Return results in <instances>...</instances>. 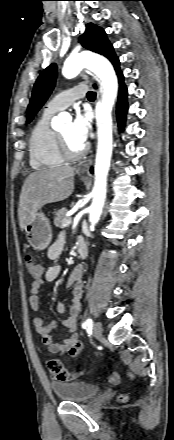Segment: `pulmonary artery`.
Masks as SVG:
<instances>
[{
    "label": "pulmonary artery",
    "mask_w": 174,
    "mask_h": 440,
    "mask_svg": "<svg viewBox=\"0 0 174 440\" xmlns=\"http://www.w3.org/2000/svg\"><path fill=\"white\" fill-rule=\"evenodd\" d=\"M88 93V87L85 84H80L67 89L54 98H52L46 105L45 110L47 112L55 113L67 108L78 98H82Z\"/></svg>",
    "instance_id": "obj_1"
}]
</instances>
